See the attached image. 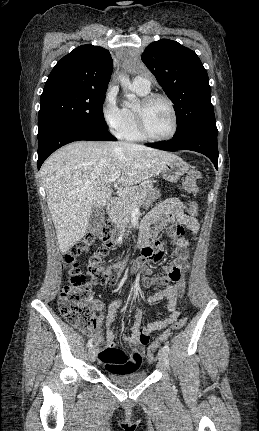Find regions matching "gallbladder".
I'll return each mask as SVG.
<instances>
[{"instance_id": "gallbladder-1", "label": "gallbladder", "mask_w": 259, "mask_h": 431, "mask_svg": "<svg viewBox=\"0 0 259 431\" xmlns=\"http://www.w3.org/2000/svg\"><path fill=\"white\" fill-rule=\"evenodd\" d=\"M105 213L102 207H94L89 219L88 231L94 233L104 222Z\"/></svg>"}]
</instances>
